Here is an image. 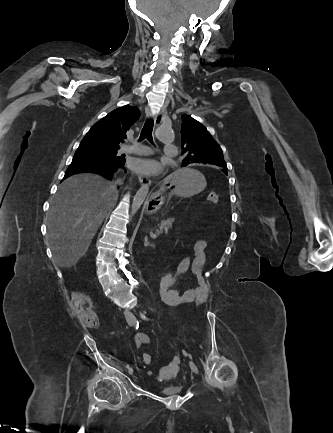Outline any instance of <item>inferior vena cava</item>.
<instances>
[{
	"label": "inferior vena cava",
	"instance_id": "obj_1",
	"mask_svg": "<svg viewBox=\"0 0 333 433\" xmlns=\"http://www.w3.org/2000/svg\"><path fill=\"white\" fill-rule=\"evenodd\" d=\"M117 183H118V184H121L122 182H121V180H119ZM124 316H125V319H126V321H127L128 323H129V322H132V321L135 320V316L132 314V312H130V311H128V310H126V311L124 312Z\"/></svg>",
	"mask_w": 333,
	"mask_h": 433
}]
</instances>
